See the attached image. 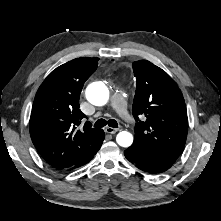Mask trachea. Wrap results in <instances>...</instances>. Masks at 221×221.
I'll list each match as a JSON object with an SVG mask.
<instances>
[{
    "label": "trachea",
    "instance_id": "obj_1",
    "mask_svg": "<svg viewBox=\"0 0 221 221\" xmlns=\"http://www.w3.org/2000/svg\"><path fill=\"white\" fill-rule=\"evenodd\" d=\"M107 124L109 127H112V128L118 127V123L114 119H110L108 121H106L105 119H99L95 122L94 127L101 128V127L106 126Z\"/></svg>",
    "mask_w": 221,
    "mask_h": 221
}]
</instances>
